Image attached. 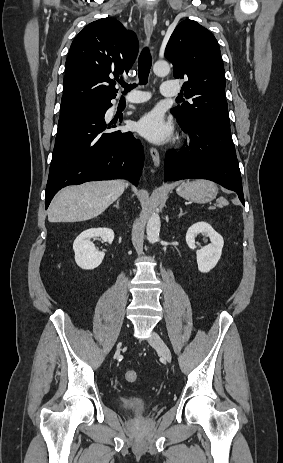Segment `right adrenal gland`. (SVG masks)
<instances>
[{
    "mask_svg": "<svg viewBox=\"0 0 283 463\" xmlns=\"http://www.w3.org/2000/svg\"><path fill=\"white\" fill-rule=\"evenodd\" d=\"M114 207H116V208H118V209L120 208V207H119V200H117L116 204H114Z\"/></svg>",
    "mask_w": 283,
    "mask_h": 463,
    "instance_id": "obj_1",
    "label": "right adrenal gland"
}]
</instances>
